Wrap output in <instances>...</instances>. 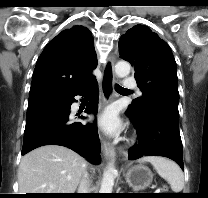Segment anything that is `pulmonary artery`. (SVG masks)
Segmentation results:
<instances>
[{"mask_svg": "<svg viewBox=\"0 0 208 198\" xmlns=\"http://www.w3.org/2000/svg\"><path fill=\"white\" fill-rule=\"evenodd\" d=\"M124 87L127 89H137L136 82L133 78H126L124 80Z\"/></svg>", "mask_w": 208, "mask_h": 198, "instance_id": "obj_1", "label": "pulmonary artery"}]
</instances>
